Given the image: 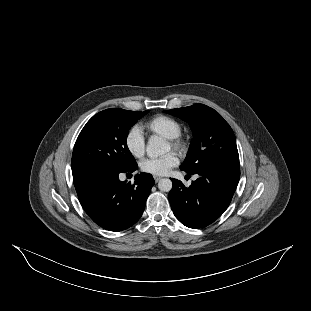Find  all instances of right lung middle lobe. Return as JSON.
Masks as SVG:
<instances>
[{
  "label": "right lung middle lobe",
  "instance_id": "dd1d6c3e",
  "mask_svg": "<svg viewBox=\"0 0 311 311\" xmlns=\"http://www.w3.org/2000/svg\"><path fill=\"white\" fill-rule=\"evenodd\" d=\"M146 113L111 108L94 115L76 140L72 173L95 166L118 171H129L137 166L126 140L129 129Z\"/></svg>",
  "mask_w": 311,
  "mask_h": 311
}]
</instances>
